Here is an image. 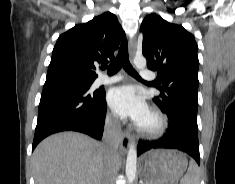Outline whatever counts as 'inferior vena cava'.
<instances>
[{"label":"inferior vena cava","mask_w":235,"mask_h":184,"mask_svg":"<svg viewBox=\"0 0 235 184\" xmlns=\"http://www.w3.org/2000/svg\"><path fill=\"white\" fill-rule=\"evenodd\" d=\"M120 136L121 126L119 120H117V118L107 120L102 138V146H104L106 154H111V156L116 154L120 142Z\"/></svg>","instance_id":"602c4592"}]
</instances>
